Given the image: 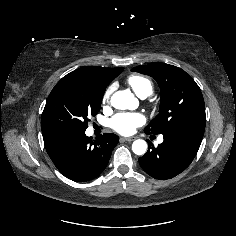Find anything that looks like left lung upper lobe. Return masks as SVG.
<instances>
[{
	"label": "left lung upper lobe",
	"mask_w": 236,
	"mask_h": 236,
	"mask_svg": "<svg viewBox=\"0 0 236 236\" xmlns=\"http://www.w3.org/2000/svg\"><path fill=\"white\" fill-rule=\"evenodd\" d=\"M153 77L161 90L159 114L144 129L147 134L188 125H205V105L199 86L184 70L165 63L132 68Z\"/></svg>",
	"instance_id": "5c2ea615"
}]
</instances>
